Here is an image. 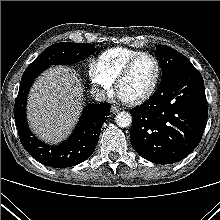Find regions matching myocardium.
Here are the masks:
<instances>
[{"instance_id": "f54148a6", "label": "myocardium", "mask_w": 220, "mask_h": 220, "mask_svg": "<svg viewBox=\"0 0 220 220\" xmlns=\"http://www.w3.org/2000/svg\"><path fill=\"white\" fill-rule=\"evenodd\" d=\"M141 57H149L154 61L155 66H156V74H155V78H154V81H153L151 87L144 94H142L141 96H139L137 98L127 100V102L130 104H140V103H143L146 100H148L155 93V91L160 83V80H161L162 67H161V63H160V60L158 59V57L152 53H149V52H139L127 61V63L123 66V68L121 69V71L117 75V77L115 79L116 90L118 91L121 82L129 74L132 67L136 63V61L138 59H140Z\"/></svg>"}]
</instances>
